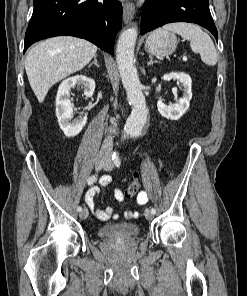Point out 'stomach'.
Wrapping results in <instances>:
<instances>
[{
    "label": "stomach",
    "instance_id": "0dacf381",
    "mask_svg": "<svg viewBox=\"0 0 247 296\" xmlns=\"http://www.w3.org/2000/svg\"><path fill=\"white\" fill-rule=\"evenodd\" d=\"M177 44V38L173 33L164 29H157L147 37L145 50L151 55L165 57L176 50Z\"/></svg>",
    "mask_w": 247,
    "mask_h": 296
}]
</instances>
